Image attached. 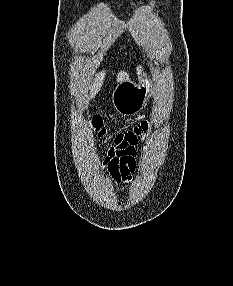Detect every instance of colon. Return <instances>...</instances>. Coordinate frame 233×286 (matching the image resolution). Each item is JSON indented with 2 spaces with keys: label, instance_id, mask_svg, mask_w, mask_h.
<instances>
[{
  "label": "colon",
  "instance_id": "obj_1",
  "mask_svg": "<svg viewBox=\"0 0 233 286\" xmlns=\"http://www.w3.org/2000/svg\"><path fill=\"white\" fill-rule=\"evenodd\" d=\"M90 123H91L92 127L94 128L95 132L99 136L103 137V136L107 135V132H108L107 127H106L103 119L100 116H98V115L91 116L90 117Z\"/></svg>",
  "mask_w": 233,
  "mask_h": 286
}]
</instances>
